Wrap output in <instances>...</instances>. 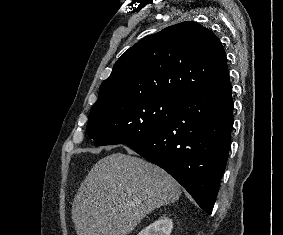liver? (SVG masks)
Listing matches in <instances>:
<instances>
[{
    "instance_id": "liver-1",
    "label": "liver",
    "mask_w": 283,
    "mask_h": 235,
    "mask_svg": "<svg viewBox=\"0 0 283 235\" xmlns=\"http://www.w3.org/2000/svg\"><path fill=\"white\" fill-rule=\"evenodd\" d=\"M133 154L107 155L89 171L72 205L77 235H128L154 209L179 199L174 178Z\"/></svg>"
}]
</instances>
